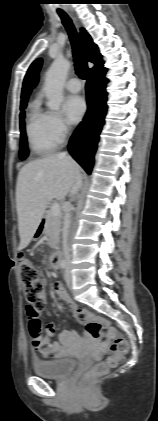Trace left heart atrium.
Segmentation results:
<instances>
[{
    "label": "left heart atrium",
    "mask_w": 158,
    "mask_h": 421,
    "mask_svg": "<svg viewBox=\"0 0 158 421\" xmlns=\"http://www.w3.org/2000/svg\"><path fill=\"white\" fill-rule=\"evenodd\" d=\"M65 115L70 123H78L86 112V103L78 95L68 96L63 103Z\"/></svg>",
    "instance_id": "left-heart-atrium-1"
}]
</instances>
